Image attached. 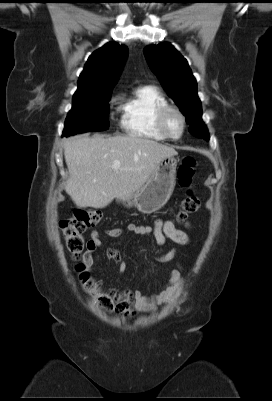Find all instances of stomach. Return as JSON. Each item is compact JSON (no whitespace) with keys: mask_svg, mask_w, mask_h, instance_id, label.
Listing matches in <instances>:
<instances>
[{"mask_svg":"<svg viewBox=\"0 0 272 401\" xmlns=\"http://www.w3.org/2000/svg\"><path fill=\"white\" fill-rule=\"evenodd\" d=\"M177 162L174 156L162 159L146 184L135 194L122 200L123 205L135 206L144 214H151L161 209L174 190Z\"/></svg>","mask_w":272,"mask_h":401,"instance_id":"1","label":"stomach"}]
</instances>
